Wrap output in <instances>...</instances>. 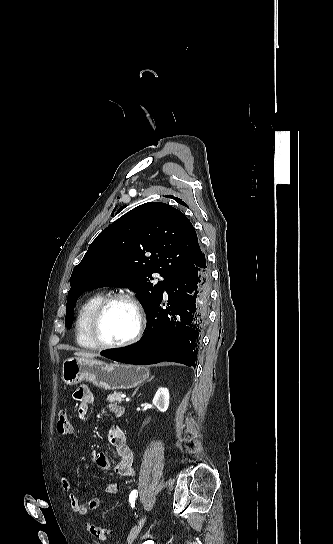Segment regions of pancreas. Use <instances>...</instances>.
<instances>
[{
	"mask_svg": "<svg viewBox=\"0 0 333 544\" xmlns=\"http://www.w3.org/2000/svg\"><path fill=\"white\" fill-rule=\"evenodd\" d=\"M122 392H113L107 396V400L111 403H121L123 398H121Z\"/></svg>",
	"mask_w": 333,
	"mask_h": 544,
	"instance_id": "pancreas-1",
	"label": "pancreas"
}]
</instances>
